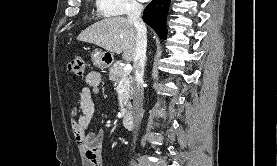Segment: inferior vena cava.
Masks as SVG:
<instances>
[{"instance_id": "obj_1", "label": "inferior vena cava", "mask_w": 277, "mask_h": 166, "mask_svg": "<svg viewBox=\"0 0 277 166\" xmlns=\"http://www.w3.org/2000/svg\"><path fill=\"white\" fill-rule=\"evenodd\" d=\"M143 6L136 1L131 3L128 11V21L132 23L137 30V41L134 52V82H133V116L135 121V129L139 128L143 115V75L146 63V49H147V28L141 19V12ZM134 141L137 133L134 132Z\"/></svg>"}]
</instances>
